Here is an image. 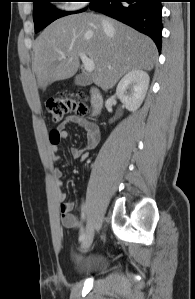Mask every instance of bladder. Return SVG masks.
Returning a JSON list of instances; mask_svg holds the SVG:
<instances>
[{
    "mask_svg": "<svg viewBox=\"0 0 195 299\" xmlns=\"http://www.w3.org/2000/svg\"><path fill=\"white\" fill-rule=\"evenodd\" d=\"M107 261L101 254H94L81 260L76 268V273L82 276H99L107 270Z\"/></svg>",
    "mask_w": 195,
    "mask_h": 299,
    "instance_id": "obj_1",
    "label": "bladder"
}]
</instances>
